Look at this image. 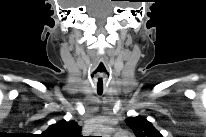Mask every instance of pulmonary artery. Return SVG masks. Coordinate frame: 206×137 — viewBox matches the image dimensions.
I'll return each instance as SVG.
<instances>
[{
	"mask_svg": "<svg viewBox=\"0 0 206 137\" xmlns=\"http://www.w3.org/2000/svg\"><path fill=\"white\" fill-rule=\"evenodd\" d=\"M114 137H128V135L125 132H118L114 135Z\"/></svg>",
	"mask_w": 206,
	"mask_h": 137,
	"instance_id": "pulmonary-artery-1",
	"label": "pulmonary artery"
}]
</instances>
